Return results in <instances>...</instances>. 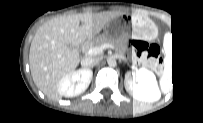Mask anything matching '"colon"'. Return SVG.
<instances>
[{
    "instance_id": "1",
    "label": "colon",
    "mask_w": 203,
    "mask_h": 123,
    "mask_svg": "<svg viewBox=\"0 0 203 123\" xmlns=\"http://www.w3.org/2000/svg\"><path fill=\"white\" fill-rule=\"evenodd\" d=\"M154 67H155V70H156V71H159V70H160V62H159V60H156V61H155Z\"/></svg>"
}]
</instances>
